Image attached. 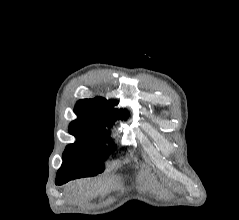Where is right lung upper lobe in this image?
Wrapping results in <instances>:
<instances>
[{
	"instance_id": "right-lung-upper-lobe-1",
	"label": "right lung upper lobe",
	"mask_w": 239,
	"mask_h": 220,
	"mask_svg": "<svg viewBox=\"0 0 239 220\" xmlns=\"http://www.w3.org/2000/svg\"><path fill=\"white\" fill-rule=\"evenodd\" d=\"M115 105H117L116 101H109L102 97L80 100L74 110L78 119L70 125L103 129L105 126H111L118 118H127V110L114 109Z\"/></svg>"
}]
</instances>
